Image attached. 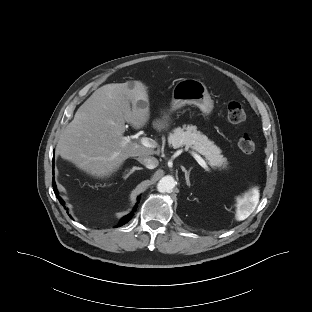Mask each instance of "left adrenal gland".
<instances>
[{
  "label": "left adrenal gland",
  "instance_id": "left-adrenal-gland-1",
  "mask_svg": "<svg viewBox=\"0 0 312 312\" xmlns=\"http://www.w3.org/2000/svg\"><path fill=\"white\" fill-rule=\"evenodd\" d=\"M181 168H182V171L185 173L186 184L190 186L189 175H190L191 168L188 171L183 166Z\"/></svg>",
  "mask_w": 312,
  "mask_h": 312
}]
</instances>
